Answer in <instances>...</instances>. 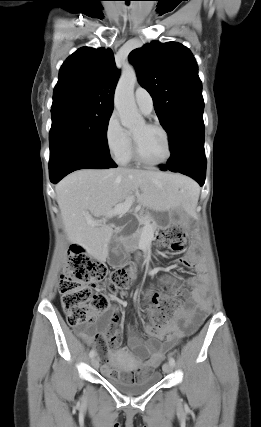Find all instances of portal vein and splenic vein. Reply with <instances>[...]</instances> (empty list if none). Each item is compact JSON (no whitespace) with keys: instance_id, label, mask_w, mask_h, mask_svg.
Returning <instances> with one entry per match:
<instances>
[{"instance_id":"obj_1","label":"portal vein and splenic vein","mask_w":261,"mask_h":427,"mask_svg":"<svg viewBox=\"0 0 261 427\" xmlns=\"http://www.w3.org/2000/svg\"><path fill=\"white\" fill-rule=\"evenodd\" d=\"M132 202H133V197L129 198L126 202H124L122 204L116 205L110 212L107 213L105 218H103L102 220L96 221L93 219H88L87 223L91 226H99L102 224V222L104 223L107 218H111V217L116 216V215H118V216L124 215L130 209Z\"/></svg>"}]
</instances>
